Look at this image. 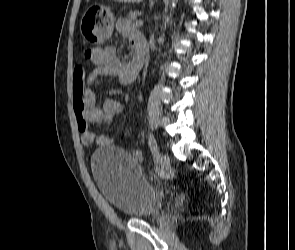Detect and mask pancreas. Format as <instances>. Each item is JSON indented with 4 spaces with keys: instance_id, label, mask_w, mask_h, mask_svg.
Listing matches in <instances>:
<instances>
[{
    "instance_id": "pancreas-1",
    "label": "pancreas",
    "mask_w": 295,
    "mask_h": 250,
    "mask_svg": "<svg viewBox=\"0 0 295 250\" xmlns=\"http://www.w3.org/2000/svg\"><path fill=\"white\" fill-rule=\"evenodd\" d=\"M139 15H140V13L138 11H134V12L131 11V12H129L128 17L130 18L131 21H133V25H135L136 18Z\"/></svg>"
}]
</instances>
